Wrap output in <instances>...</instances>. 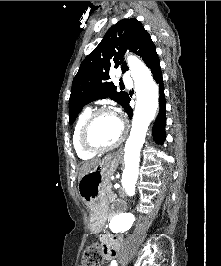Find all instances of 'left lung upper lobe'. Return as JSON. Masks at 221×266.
<instances>
[{"label":"left lung upper lobe","mask_w":221,"mask_h":266,"mask_svg":"<svg viewBox=\"0 0 221 266\" xmlns=\"http://www.w3.org/2000/svg\"><path fill=\"white\" fill-rule=\"evenodd\" d=\"M130 50L142 57L151 69L158 61L156 47L150 35L136 18L123 19L113 25L99 45L83 60L73 79L69 100V123L72 124L81 109L89 102L109 97L123 108L129 98L123 91H117L109 81L111 68L128 70L123 59Z\"/></svg>","instance_id":"obj_1"}]
</instances>
